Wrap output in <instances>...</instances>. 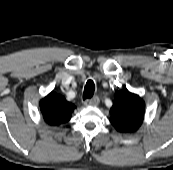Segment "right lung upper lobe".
I'll return each instance as SVG.
<instances>
[{"instance_id":"obj_1","label":"right lung upper lobe","mask_w":173,"mask_h":170,"mask_svg":"<svg viewBox=\"0 0 173 170\" xmlns=\"http://www.w3.org/2000/svg\"><path fill=\"white\" fill-rule=\"evenodd\" d=\"M75 108L74 104L54 91L40 101L43 118L51 126H59L69 121Z\"/></svg>"}]
</instances>
